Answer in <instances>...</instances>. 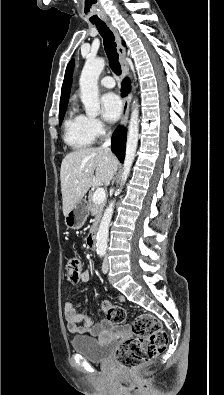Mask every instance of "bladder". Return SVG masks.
I'll list each match as a JSON object with an SVG mask.
<instances>
[{"mask_svg": "<svg viewBox=\"0 0 224 395\" xmlns=\"http://www.w3.org/2000/svg\"><path fill=\"white\" fill-rule=\"evenodd\" d=\"M72 349L91 362H106L112 354L113 341L99 338L75 336L70 341Z\"/></svg>", "mask_w": 224, "mask_h": 395, "instance_id": "31cf9c89", "label": "bladder"}]
</instances>
